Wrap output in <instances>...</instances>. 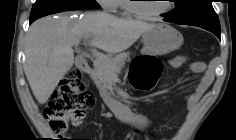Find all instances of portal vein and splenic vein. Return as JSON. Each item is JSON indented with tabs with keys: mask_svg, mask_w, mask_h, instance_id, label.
Segmentation results:
<instances>
[{
	"mask_svg": "<svg viewBox=\"0 0 236 140\" xmlns=\"http://www.w3.org/2000/svg\"><path fill=\"white\" fill-rule=\"evenodd\" d=\"M86 38H89V37H86ZM78 44V43H77ZM93 56L97 59V60H101V61H104L105 58L102 57L100 54L98 53H94Z\"/></svg>",
	"mask_w": 236,
	"mask_h": 140,
	"instance_id": "1",
	"label": "portal vein and splenic vein"
}]
</instances>
